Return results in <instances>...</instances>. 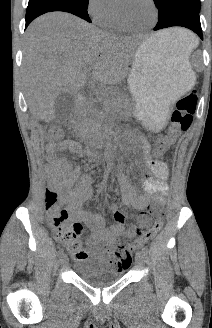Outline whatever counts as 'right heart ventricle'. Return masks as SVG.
<instances>
[{
	"label": "right heart ventricle",
	"mask_w": 212,
	"mask_h": 328,
	"mask_svg": "<svg viewBox=\"0 0 212 328\" xmlns=\"http://www.w3.org/2000/svg\"><path fill=\"white\" fill-rule=\"evenodd\" d=\"M101 25L104 28H106L110 31H122V30H124L122 28V26L120 25V23L118 22L117 17L115 16V14L111 15L106 20L101 22Z\"/></svg>",
	"instance_id": "1"
}]
</instances>
